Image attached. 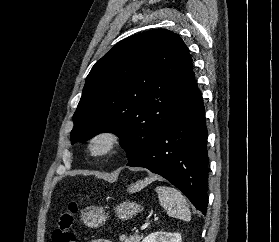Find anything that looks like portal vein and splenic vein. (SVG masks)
<instances>
[{
    "instance_id": "1",
    "label": "portal vein and splenic vein",
    "mask_w": 279,
    "mask_h": 242,
    "mask_svg": "<svg viewBox=\"0 0 279 242\" xmlns=\"http://www.w3.org/2000/svg\"><path fill=\"white\" fill-rule=\"evenodd\" d=\"M146 228L145 227H141V231L145 230Z\"/></svg>"
}]
</instances>
